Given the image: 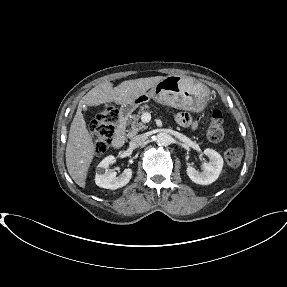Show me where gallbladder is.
<instances>
[{
  "mask_svg": "<svg viewBox=\"0 0 287 287\" xmlns=\"http://www.w3.org/2000/svg\"><path fill=\"white\" fill-rule=\"evenodd\" d=\"M82 111H83L84 113H86V112L88 111L87 107L84 106V107L82 108Z\"/></svg>",
  "mask_w": 287,
  "mask_h": 287,
  "instance_id": "obj_1",
  "label": "gallbladder"
}]
</instances>
